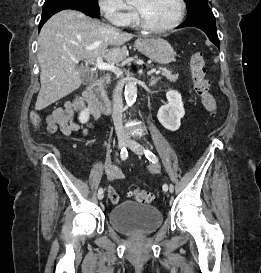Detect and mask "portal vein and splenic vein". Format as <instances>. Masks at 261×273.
I'll return each instance as SVG.
<instances>
[{
    "label": "portal vein and splenic vein",
    "mask_w": 261,
    "mask_h": 273,
    "mask_svg": "<svg viewBox=\"0 0 261 273\" xmlns=\"http://www.w3.org/2000/svg\"><path fill=\"white\" fill-rule=\"evenodd\" d=\"M86 64L88 65V62H86ZM91 64L100 70L112 71L117 76H121L123 74V71L116 67L114 64L104 63L101 57H98L96 63ZM155 73H160V70H155Z\"/></svg>",
    "instance_id": "18ae733b"
}]
</instances>
